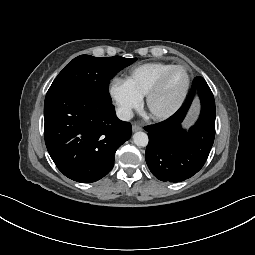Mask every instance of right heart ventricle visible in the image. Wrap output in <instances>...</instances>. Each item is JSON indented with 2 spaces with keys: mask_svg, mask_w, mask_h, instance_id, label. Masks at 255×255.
Wrapping results in <instances>:
<instances>
[{
  "mask_svg": "<svg viewBox=\"0 0 255 255\" xmlns=\"http://www.w3.org/2000/svg\"><path fill=\"white\" fill-rule=\"evenodd\" d=\"M172 66L174 65L162 62L145 63L132 69L126 81L142 97L147 94L158 78Z\"/></svg>",
  "mask_w": 255,
  "mask_h": 255,
  "instance_id": "obj_1",
  "label": "right heart ventricle"
}]
</instances>
